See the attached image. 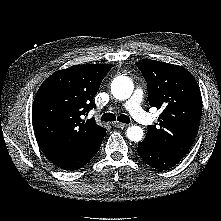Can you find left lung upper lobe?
Wrapping results in <instances>:
<instances>
[{
	"instance_id": "1",
	"label": "left lung upper lobe",
	"mask_w": 221,
	"mask_h": 221,
	"mask_svg": "<svg viewBox=\"0 0 221 221\" xmlns=\"http://www.w3.org/2000/svg\"><path fill=\"white\" fill-rule=\"evenodd\" d=\"M148 85L152 107L162 109L159 124L148 126L143 142L184 157L194 142L202 113V97L185 68L155 60L136 62Z\"/></svg>"
}]
</instances>
